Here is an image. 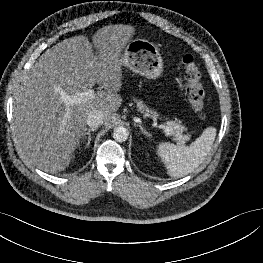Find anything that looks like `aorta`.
<instances>
[{
    "instance_id": "1",
    "label": "aorta",
    "mask_w": 263,
    "mask_h": 263,
    "mask_svg": "<svg viewBox=\"0 0 263 263\" xmlns=\"http://www.w3.org/2000/svg\"><path fill=\"white\" fill-rule=\"evenodd\" d=\"M129 131L123 126L114 128L113 138L118 142H124L128 139Z\"/></svg>"
}]
</instances>
